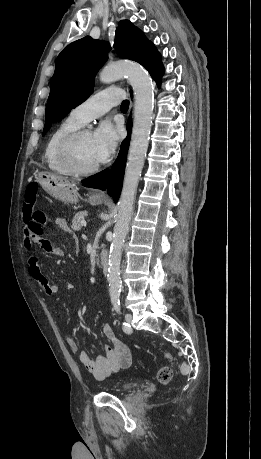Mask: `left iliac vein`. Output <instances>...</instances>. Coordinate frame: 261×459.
Listing matches in <instances>:
<instances>
[{
  "instance_id": "1",
  "label": "left iliac vein",
  "mask_w": 261,
  "mask_h": 459,
  "mask_svg": "<svg viewBox=\"0 0 261 459\" xmlns=\"http://www.w3.org/2000/svg\"><path fill=\"white\" fill-rule=\"evenodd\" d=\"M125 319L127 321L128 324H131L132 322V315L130 313L126 314L125 315Z\"/></svg>"
}]
</instances>
